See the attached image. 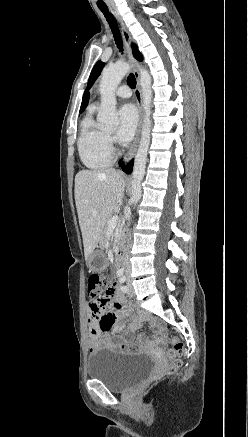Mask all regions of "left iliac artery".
I'll return each instance as SVG.
<instances>
[{
  "label": "left iliac artery",
  "mask_w": 248,
  "mask_h": 437,
  "mask_svg": "<svg viewBox=\"0 0 248 437\" xmlns=\"http://www.w3.org/2000/svg\"><path fill=\"white\" fill-rule=\"evenodd\" d=\"M125 280H126V277H125V276H122V277L120 278V289H121V291L124 292V293L128 292V287L125 286V285L123 284V283L125 282Z\"/></svg>",
  "instance_id": "44dca946"
}]
</instances>
